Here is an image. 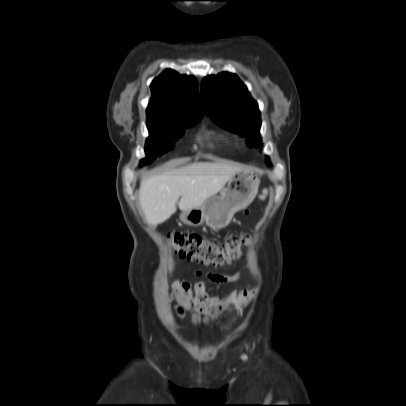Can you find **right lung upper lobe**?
Listing matches in <instances>:
<instances>
[{
  "label": "right lung upper lobe",
  "mask_w": 406,
  "mask_h": 406,
  "mask_svg": "<svg viewBox=\"0 0 406 406\" xmlns=\"http://www.w3.org/2000/svg\"><path fill=\"white\" fill-rule=\"evenodd\" d=\"M147 122L186 123L203 115L198 84L193 76L167 69L150 85Z\"/></svg>",
  "instance_id": "1"
}]
</instances>
